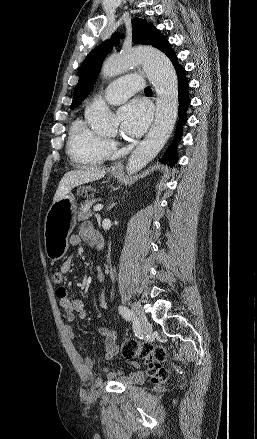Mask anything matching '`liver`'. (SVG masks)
Here are the masks:
<instances>
[{
  "label": "liver",
  "instance_id": "6515ba94",
  "mask_svg": "<svg viewBox=\"0 0 257 439\" xmlns=\"http://www.w3.org/2000/svg\"><path fill=\"white\" fill-rule=\"evenodd\" d=\"M105 169L86 168L67 172L59 182L53 203L65 197L74 187L103 178Z\"/></svg>",
  "mask_w": 257,
  "mask_h": 439
}]
</instances>
